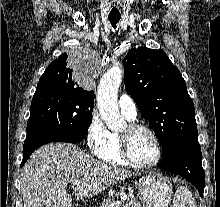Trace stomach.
<instances>
[{
  "mask_svg": "<svg viewBox=\"0 0 220 207\" xmlns=\"http://www.w3.org/2000/svg\"><path fill=\"white\" fill-rule=\"evenodd\" d=\"M139 199L145 207H168L172 199V186L163 176L148 173L136 183Z\"/></svg>",
  "mask_w": 220,
  "mask_h": 207,
  "instance_id": "1",
  "label": "stomach"
}]
</instances>
